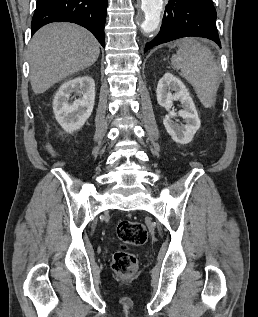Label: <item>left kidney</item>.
I'll return each instance as SVG.
<instances>
[{"mask_svg":"<svg viewBox=\"0 0 258 317\" xmlns=\"http://www.w3.org/2000/svg\"><path fill=\"white\" fill-rule=\"evenodd\" d=\"M171 90H175V94H172ZM156 94L158 104L168 110V114H165L163 120L167 132L179 144L191 142L201 122L188 88L172 72H165L157 84ZM173 100H180L183 110H178V112L171 110L173 108ZM177 114L184 118L186 124H181L180 126V124L172 120Z\"/></svg>","mask_w":258,"mask_h":317,"instance_id":"obj_1","label":"left kidney"}]
</instances>
